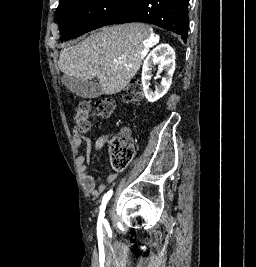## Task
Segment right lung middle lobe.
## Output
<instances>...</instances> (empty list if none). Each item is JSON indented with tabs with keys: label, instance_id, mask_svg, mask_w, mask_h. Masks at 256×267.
Instances as JSON below:
<instances>
[{
	"label": "right lung middle lobe",
	"instance_id": "dd1d6c3e",
	"mask_svg": "<svg viewBox=\"0 0 256 267\" xmlns=\"http://www.w3.org/2000/svg\"><path fill=\"white\" fill-rule=\"evenodd\" d=\"M138 0H60L56 20L63 40L79 37L131 12Z\"/></svg>",
	"mask_w": 256,
	"mask_h": 267
}]
</instances>
